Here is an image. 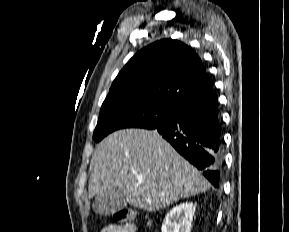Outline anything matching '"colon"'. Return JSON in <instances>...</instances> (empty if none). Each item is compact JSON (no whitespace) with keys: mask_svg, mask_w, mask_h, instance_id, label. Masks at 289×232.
<instances>
[{"mask_svg":"<svg viewBox=\"0 0 289 232\" xmlns=\"http://www.w3.org/2000/svg\"><path fill=\"white\" fill-rule=\"evenodd\" d=\"M113 219L118 225H126L131 223L133 214L129 210L122 209L113 213Z\"/></svg>","mask_w":289,"mask_h":232,"instance_id":"1","label":"colon"}]
</instances>
